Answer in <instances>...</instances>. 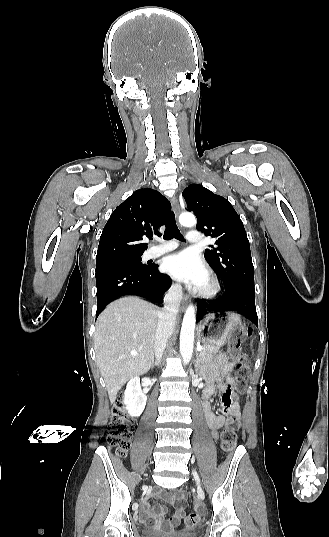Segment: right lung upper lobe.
<instances>
[{
    "instance_id": "obj_1",
    "label": "right lung upper lobe",
    "mask_w": 329,
    "mask_h": 537,
    "mask_svg": "<svg viewBox=\"0 0 329 537\" xmlns=\"http://www.w3.org/2000/svg\"><path fill=\"white\" fill-rule=\"evenodd\" d=\"M170 202L158 191L136 190L121 203L107 221L98 246L96 264L141 257L147 249L143 237L161 235L159 227L166 223Z\"/></svg>"
}]
</instances>
